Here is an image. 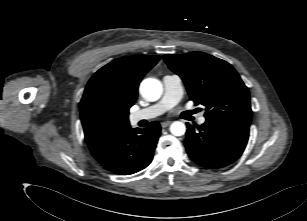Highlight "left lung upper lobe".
I'll list each match as a JSON object with an SVG mask.
<instances>
[{"mask_svg": "<svg viewBox=\"0 0 307 221\" xmlns=\"http://www.w3.org/2000/svg\"><path fill=\"white\" fill-rule=\"evenodd\" d=\"M163 58L184 81L190 99L205 107L206 120L251 123L248 88L229 63L200 51Z\"/></svg>", "mask_w": 307, "mask_h": 221, "instance_id": "left-lung-upper-lobe-1", "label": "left lung upper lobe"}]
</instances>
